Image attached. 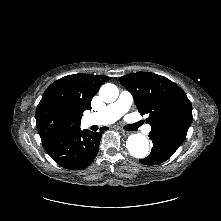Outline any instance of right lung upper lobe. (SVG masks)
I'll return each mask as SVG.
<instances>
[{
	"mask_svg": "<svg viewBox=\"0 0 221 221\" xmlns=\"http://www.w3.org/2000/svg\"><path fill=\"white\" fill-rule=\"evenodd\" d=\"M108 76L74 74L53 82L43 93L36 109V125L42 144L80 129L81 117L85 110L91 109V100ZM53 114H64L69 119L67 130L61 135L45 140L42 138L41 122Z\"/></svg>",
	"mask_w": 221,
	"mask_h": 221,
	"instance_id": "obj_1",
	"label": "right lung upper lobe"
}]
</instances>
